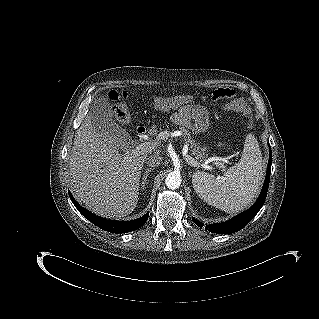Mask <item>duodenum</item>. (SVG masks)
Returning a JSON list of instances; mask_svg holds the SVG:
<instances>
[{
    "label": "duodenum",
    "mask_w": 319,
    "mask_h": 319,
    "mask_svg": "<svg viewBox=\"0 0 319 319\" xmlns=\"http://www.w3.org/2000/svg\"><path fill=\"white\" fill-rule=\"evenodd\" d=\"M136 132L138 135H144L146 133V127L144 126H138L136 129Z\"/></svg>",
    "instance_id": "1"
}]
</instances>
